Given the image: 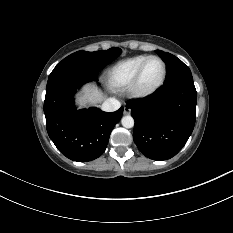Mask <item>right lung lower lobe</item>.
I'll return each instance as SVG.
<instances>
[{
  "label": "right lung lower lobe",
  "mask_w": 233,
  "mask_h": 233,
  "mask_svg": "<svg viewBox=\"0 0 233 233\" xmlns=\"http://www.w3.org/2000/svg\"><path fill=\"white\" fill-rule=\"evenodd\" d=\"M97 80L92 73H61L49 76L44 101L46 127L58 150L73 161L98 158L106 149L123 108L107 113L98 108L76 110L73 95L86 82Z\"/></svg>",
  "instance_id": "1"
}]
</instances>
